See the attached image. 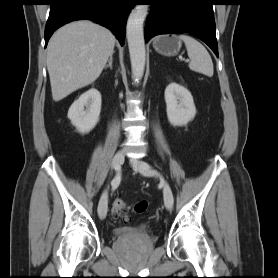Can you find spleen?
<instances>
[{
	"label": "spleen",
	"mask_w": 278,
	"mask_h": 278,
	"mask_svg": "<svg viewBox=\"0 0 278 278\" xmlns=\"http://www.w3.org/2000/svg\"><path fill=\"white\" fill-rule=\"evenodd\" d=\"M179 39L185 43L190 58L189 68L192 71L212 77L214 73L213 62L206 48L189 35L182 34Z\"/></svg>",
	"instance_id": "obj_1"
}]
</instances>
